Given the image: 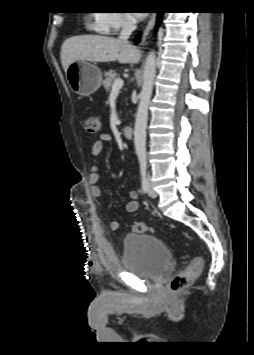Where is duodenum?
Wrapping results in <instances>:
<instances>
[{"label":"duodenum","instance_id":"1","mask_svg":"<svg viewBox=\"0 0 254 355\" xmlns=\"http://www.w3.org/2000/svg\"><path fill=\"white\" fill-rule=\"evenodd\" d=\"M134 129L131 125H125L123 127V134L127 138H131L133 136Z\"/></svg>","mask_w":254,"mask_h":355}]
</instances>
